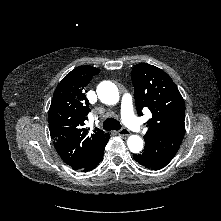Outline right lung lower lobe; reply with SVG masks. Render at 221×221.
<instances>
[{
    "label": "right lung lower lobe",
    "mask_w": 221,
    "mask_h": 221,
    "mask_svg": "<svg viewBox=\"0 0 221 221\" xmlns=\"http://www.w3.org/2000/svg\"><path fill=\"white\" fill-rule=\"evenodd\" d=\"M108 141H109V139H108ZM107 142H106V144H107ZM106 144L100 149V151L97 154V156L95 157V159L88 166H86L84 169H82V171H84V172L91 171L101 162Z\"/></svg>",
    "instance_id": "right-lung-lower-lobe-1"
}]
</instances>
